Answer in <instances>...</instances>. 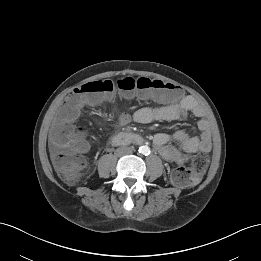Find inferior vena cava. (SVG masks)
<instances>
[{
    "mask_svg": "<svg viewBox=\"0 0 261 261\" xmlns=\"http://www.w3.org/2000/svg\"><path fill=\"white\" fill-rule=\"evenodd\" d=\"M134 148L133 147H120L116 150V152L119 155H128L133 152Z\"/></svg>",
    "mask_w": 261,
    "mask_h": 261,
    "instance_id": "1",
    "label": "inferior vena cava"
}]
</instances>
